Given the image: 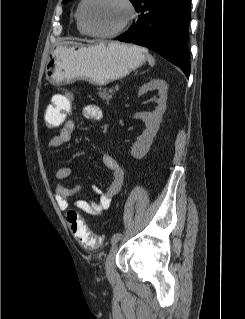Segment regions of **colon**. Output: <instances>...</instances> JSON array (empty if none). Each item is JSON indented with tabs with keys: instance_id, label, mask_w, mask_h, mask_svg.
<instances>
[{
	"instance_id": "5ec220e1",
	"label": "colon",
	"mask_w": 245,
	"mask_h": 319,
	"mask_svg": "<svg viewBox=\"0 0 245 319\" xmlns=\"http://www.w3.org/2000/svg\"><path fill=\"white\" fill-rule=\"evenodd\" d=\"M70 100L64 95H57L53 104L45 112V122L51 128H58L64 122L69 111ZM67 222L77 241L86 249L95 251L102 245V238L92 233L86 226L79 213L70 209L67 212Z\"/></svg>"
}]
</instances>
